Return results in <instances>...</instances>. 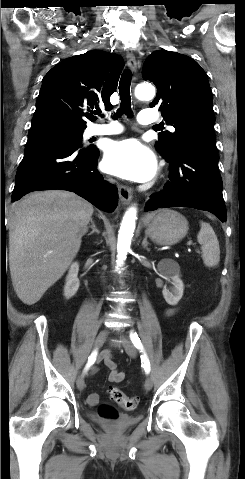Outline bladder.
Listing matches in <instances>:
<instances>
[{"mask_svg":"<svg viewBox=\"0 0 245 479\" xmlns=\"http://www.w3.org/2000/svg\"><path fill=\"white\" fill-rule=\"evenodd\" d=\"M96 422L104 429L112 432H120L125 429H127L129 426L134 424L136 422V419L126 417L124 421L118 422V421H102V420H96Z\"/></svg>","mask_w":245,"mask_h":479,"instance_id":"bladder-1","label":"bladder"}]
</instances>
